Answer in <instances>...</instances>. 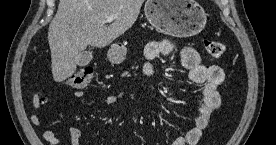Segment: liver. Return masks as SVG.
Here are the masks:
<instances>
[{
  "label": "liver",
  "mask_w": 276,
  "mask_h": 145,
  "mask_svg": "<svg viewBox=\"0 0 276 145\" xmlns=\"http://www.w3.org/2000/svg\"><path fill=\"white\" fill-rule=\"evenodd\" d=\"M144 0H60L48 29L51 69L55 82L75 71L88 45L103 48L124 34L137 20ZM116 16L106 26L107 16Z\"/></svg>",
  "instance_id": "liver-1"
}]
</instances>
